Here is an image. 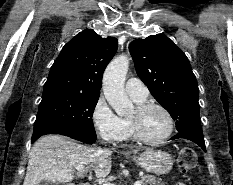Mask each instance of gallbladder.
I'll list each match as a JSON object with an SVG mask.
<instances>
[{
  "label": "gallbladder",
  "mask_w": 233,
  "mask_h": 185,
  "mask_svg": "<svg viewBox=\"0 0 233 185\" xmlns=\"http://www.w3.org/2000/svg\"><path fill=\"white\" fill-rule=\"evenodd\" d=\"M38 185H66V184H60V183L51 182V181H41Z\"/></svg>",
  "instance_id": "obj_1"
}]
</instances>
